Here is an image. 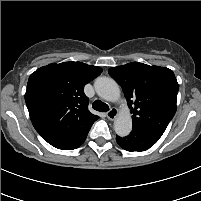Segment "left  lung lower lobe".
<instances>
[{
	"label": "left lung lower lobe",
	"mask_w": 201,
	"mask_h": 201,
	"mask_svg": "<svg viewBox=\"0 0 201 201\" xmlns=\"http://www.w3.org/2000/svg\"><path fill=\"white\" fill-rule=\"evenodd\" d=\"M163 133L150 130H132L131 134L122 138L116 136L117 143L127 151H145L153 146Z\"/></svg>",
	"instance_id": "0a47b994"
}]
</instances>
